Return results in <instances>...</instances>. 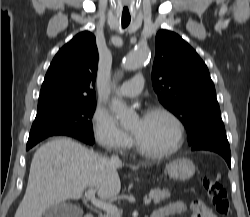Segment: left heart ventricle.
<instances>
[{
  "mask_svg": "<svg viewBox=\"0 0 250 217\" xmlns=\"http://www.w3.org/2000/svg\"><path fill=\"white\" fill-rule=\"evenodd\" d=\"M138 143L151 151H163L174 143L175 129L171 121L163 115H146L136 119L131 126Z\"/></svg>",
  "mask_w": 250,
  "mask_h": 217,
  "instance_id": "1",
  "label": "left heart ventricle"
}]
</instances>
